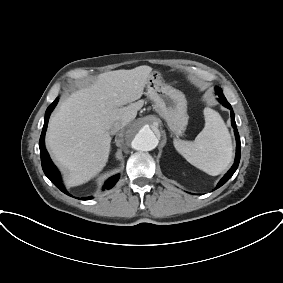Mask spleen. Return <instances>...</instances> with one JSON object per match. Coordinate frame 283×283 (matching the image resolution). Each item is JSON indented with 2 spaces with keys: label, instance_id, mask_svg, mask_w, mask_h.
<instances>
[{
  "label": "spleen",
  "instance_id": "3e777b00",
  "mask_svg": "<svg viewBox=\"0 0 283 283\" xmlns=\"http://www.w3.org/2000/svg\"><path fill=\"white\" fill-rule=\"evenodd\" d=\"M205 126L195 140H175L176 150L193 166L216 176L232 161V141L229 131L218 112L204 109Z\"/></svg>",
  "mask_w": 283,
  "mask_h": 283
}]
</instances>
